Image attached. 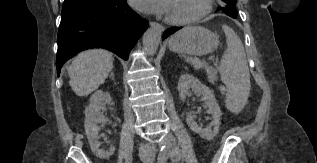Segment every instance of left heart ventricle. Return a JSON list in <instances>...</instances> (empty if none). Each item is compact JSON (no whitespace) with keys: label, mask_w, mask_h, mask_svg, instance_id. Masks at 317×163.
Returning a JSON list of instances; mask_svg holds the SVG:
<instances>
[{"label":"left heart ventricle","mask_w":317,"mask_h":163,"mask_svg":"<svg viewBox=\"0 0 317 163\" xmlns=\"http://www.w3.org/2000/svg\"><path fill=\"white\" fill-rule=\"evenodd\" d=\"M201 5L202 0H172L168 16L178 19L187 18L196 14Z\"/></svg>","instance_id":"b2bd125f"}]
</instances>
